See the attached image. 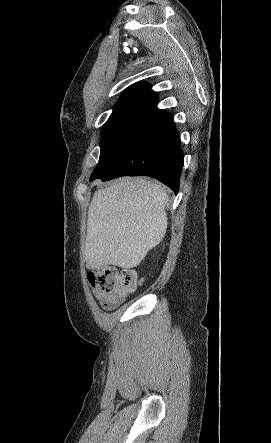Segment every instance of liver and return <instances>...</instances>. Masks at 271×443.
Listing matches in <instances>:
<instances>
[{
	"mask_svg": "<svg viewBox=\"0 0 271 443\" xmlns=\"http://www.w3.org/2000/svg\"><path fill=\"white\" fill-rule=\"evenodd\" d=\"M168 200L166 190L147 178H119L109 188L97 190L87 216L88 269L140 265L165 235Z\"/></svg>",
	"mask_w": 271,
	"mask_h": 443,
	"instance_id": "obj_1",
	"label": "liver"
}]
</instances>
